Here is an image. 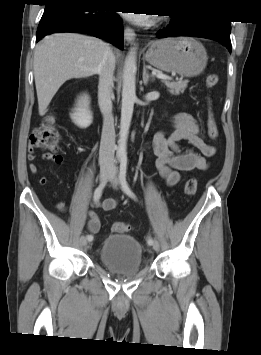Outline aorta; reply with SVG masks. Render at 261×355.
<instances>
[{
	"label": "aorta",
	"instance_id": "1",
	"mask_svg": "<svg viewBox=\"0 0 261 355\" xmlns=\"http://www.w3.org/2000/svg\"><path fill=\"white\" fill-rule=\"evenodd\" d=\"M136 47L130 49L123 70L122 107L117 156L126 157L127 140L136 100Z\"/></svg>",
	"mask_w": 261,
	"mask_h": 355
}]
</instances>
